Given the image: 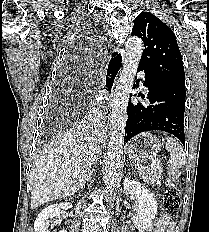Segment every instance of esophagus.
<instances>
[{"label": "esophagus", "instance_id": "34e87169", "mask_svg": "<svg viewBox=\"0 0 209 232\" xmlns=\"http://www.w3.org/2000/svg\"><path fill=\"white\" fill-rule=\"evenodd\" d=\"M124 59H125L124 50L118 47H114L109 57V61L106 69L107 79L111 80V82L108 85H106V88L109 93V98H111L116 81L118 79V75L121 72ZM103 111L105 114H107L109 111V106L104 105Z\"/></svg>", "mask_w": 209, "mask_h": 232}]
</instances>
